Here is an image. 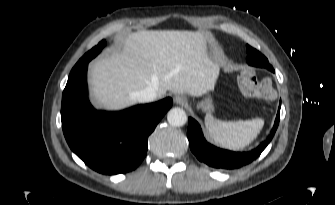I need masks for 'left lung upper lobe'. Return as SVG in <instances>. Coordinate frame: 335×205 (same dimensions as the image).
Masks as SVG:
<instances>
[{"label":"left lung upper lobe","instance_id":"1","mask_svg":"<svg viewBox=\"0 0 335 205\" xmlns=\"http://www.w3.org/2000/svg\"><path fill=\"white\" fill-rule=\"evenodd\" d=\"M247 63L255 67L267 68L270 71L274 70L268 59L249 45H247Z\"/></svg>","mask_w":335,"mask_h":205}]
</instances>
